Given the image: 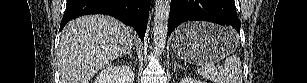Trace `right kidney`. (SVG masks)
I'll return each instance as SVG.
<instances>
[{
  "instance_id": "obj_1",
  "label": "right kidney",
  "mask_w": 307,
  "mask_h": 83,
  "mask_svg": "<svg viewBox=\"0 0 307 83\" xmlns=\"http://www.w3.org/2000/svg\"><path fill=\"white\" fill-rule=\"evenodd\" d=\"M134 72L126 65H109L97 75L94 83H133Z\"/></svg>"
}]
</instances>
